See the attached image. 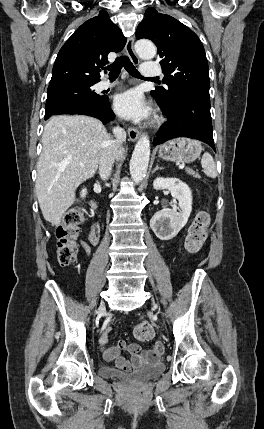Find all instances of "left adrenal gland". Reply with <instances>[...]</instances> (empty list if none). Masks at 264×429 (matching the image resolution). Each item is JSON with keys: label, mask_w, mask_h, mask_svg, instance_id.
<instances>
[{"label": "left adrenal gland", "mask_w": 264, "mask_h": 429, "mask_svg": "<svg viewBox=\"0 0 264 429\" xmlns=\"http://www.w3.org/2000/svg\"><path fill=\"white\" fill-rule=\"evenodd\" d=\"M164 169L163 167H159V165H156V167L153 169L152 173H154L157 170H162Z\"/></svg>", "instance_id": "left-adrenal-gland-1"}]
</instances>
